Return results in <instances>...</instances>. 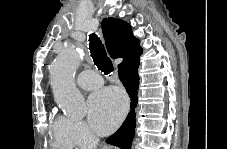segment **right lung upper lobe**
<instances>
[{"instance_id": "cb5924a9", "label": "right lung upper lobe", "mask_w": 227, "mask_h": 149, "mask_svg": "<svg viewBox=\"0 0 227 149\" xmlns=\"http://www.w3.org/2000/svg\"><path fill=\"white\" fill-rule=\"evenodd\" d=\"M102 31L111 57L123 58V62L118 65V68L126 63L139 60L142 49L139 40L133 36L129 24L109 17L103 20Z\"/></svg>"}]
</instances>
